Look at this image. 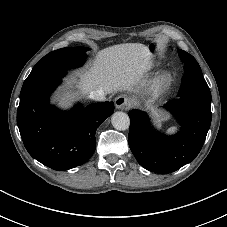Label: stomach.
Masks as SVG:
<instances>
[{
	"instance_id": "0dacf381",
	"label": "stomach",
	"mask_w": 227,
	"mask_h": 227,
	"mask_svg": "<svg viewBox=\"0 0 227 227\" xmlns=\"http://www.w3.org/2000/svg\"><path fill=\"white\" fill-rule=\"evenodd\" d=\"M148 47V49H149V51H150V53L152 54V53H154L158 48H157V45L156 44H150L149 46H147ZM165 118L164 117H157V122H161V121H163Z\"/></svg>"
}]
</instances>
